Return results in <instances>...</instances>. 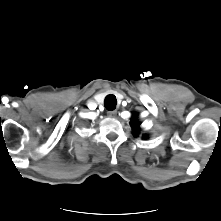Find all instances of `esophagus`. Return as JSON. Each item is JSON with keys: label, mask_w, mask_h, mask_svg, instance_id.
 Masks as SVG:
<instances>
[{"label": "esophagus", "mask_w": 221, "mask_h": 221, "mask_svg": "<svg viewBox=\"0 0 221 221\" xmlns=\"http://www.w3.org/2000/svg\"><path fill=\"white\" fill-rule=\"evenodd\" d=\"M108 116L110 117V118H114V117H116V115H117V111L116 110H114V111H108Z\"/></svg>", "instance_id": "34e87169"}]
</instances>
